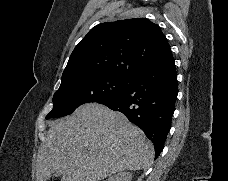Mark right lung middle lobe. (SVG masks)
Here are the masks:
<instances>
[{
  "label": "right lung middle lobe",
  "instance_id": "dd1d6c3e",
  "mask_svg": "<svg viewBox=\"0 0 228 181\" xmlns=\"http://www.w3.org/2000/svg\"><path fill=\"white\" fill-rule=\"evenodd\" d=\"M131 77L98 75L61 85L53 96V110L46 119L69 115L82 104L103 103L118 97Z\"/></svg>",
  "mask_w": 228,
  "mask_h": 181
}]
</instances>
